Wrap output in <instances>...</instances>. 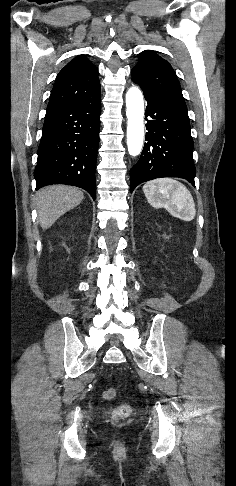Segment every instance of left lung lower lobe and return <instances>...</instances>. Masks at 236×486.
Listing matches in <instances>:
<instances>
[{"instance_id": "1", "label": "left lung lower lobe", "mask_w": 236, "mask_h": 486, "mask_svg": "<svg viewBox=\"0 0 236 486\" xmlns=\"http://www.w3.org/2000/svg\"><path fill=\"white\" fill-rule=\"evenodd\" d=\"M140 87L147 101L148 132L140 159L130 171L131 192L140 183L161 177L184 178L194 185L196 168L188 112Z\"/></svg>"}]
</instances>
